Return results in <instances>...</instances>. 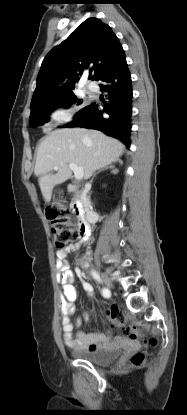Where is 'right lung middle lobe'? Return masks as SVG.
<instances>
[{"label": "right lung middle lobe", "mask_w": 187, "mask_h": 415, "mask_svg": "<svg viewBox=\"0 0 187 415\" xmlns=\"http://www.w3.org/2000/svg\"><path fill=\"white\" fill-rule=\"evenodd\" d=\"M72 103L81 104L82 100L77 99L76 95L71 92L65 95L60 101L40 106L31 110V115L29 117V122L32 127H37L43 125L48 121L49 114L56 108L65 107L68 108Z\"/></svg>", "instance_id": "right-lung-middle-lobe-1"}]
</instances>
